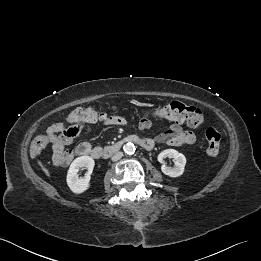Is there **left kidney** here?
<instances>
[{"label":"left kidney","instance_id":"left-kidney-1","mask_svg":"<svg viewBox=\"0 0 261 261\" xmlns=\"http://www.w3.org/2000/svg\"><path fill=\"white\" fill-rule=\"evenodd\" d=\"M166 157L173 158L175 161L174 167H168L164 163V159ZM158 161L162 163L161 170L165 175H168L170 177H179L183 174L185 164H186V158L182 153H179L178 151L174 149H166L163 150L158 155Z\"/></svg>","mask_w":261,"mask_h":261}]
</instances>
